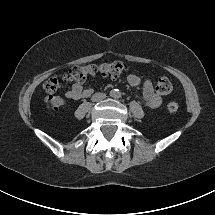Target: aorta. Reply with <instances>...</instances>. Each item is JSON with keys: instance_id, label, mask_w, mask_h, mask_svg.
Masks as SVG:
<instances>
[{"instance_id": "obj_1", "label": "aorta", "mask_w": 215, "mask_h": 215, "mask_svg": "<svg viewBox=\"0 0 215 215\" xmlns=\"http://www.w3.org/2000/svg\"><path fill=\"white\" fill-rule=\"evenodd\" d=\"M113 96H119L120 92L118 90H114L111 92Z\"/></svg>"}]
</instances>
